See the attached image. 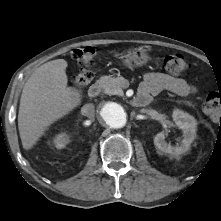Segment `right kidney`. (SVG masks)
<instances>
[{"mask_svg":"<svg viewBox=\"0 0 221 221\" xmlns=\"http://www.w3.org/2000/svg\"><path fill=\"white\" fill-rule=\"evenodd\" d=\"M68 142L69 137L65 133H60L53 139V144L58 149L64 148Z\"/></svg>","mask_w":221,"mask_h":221,"instance_id":"1","label":"right kidney"}]
</instances>
